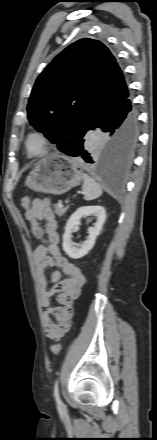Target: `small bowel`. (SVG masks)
Instances as JSON below:
<instances>
[{
    "instance_id": "1",
    "label": "small bowel",
    "mask_w": 157,
    "mask_h": 440,
    "mask_svg": "<svg viewBox=\"0 0 157 440\" xmlns=\"http://www.w3.org/2000/svg\"><path fill=\"white\" fill-rule=\"evenodd\" d=\"M25 217L30 223L32 235L42 241L34 250L33 257L37 270L39 302L44 309L42 322L45 335L58 341L70 329L73 302L80 295L85 276L59 249L58 225L49 199H35ZM42 221H46L45 227L41 226ZM50 270L52 286L48 279ZM54 296L59 306H52Z\"/></svg>"
}]
</instances>
